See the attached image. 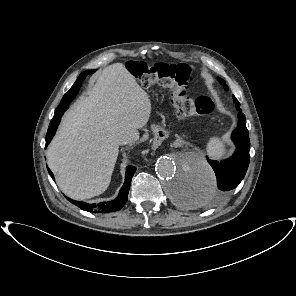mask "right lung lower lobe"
Here are the masks:
<instances>
[{
    "mask_svg": "<svg viewBox=\"0 0 296 296\" xmlns=\"http://www.w3.org/2000/svg\"><path fill=\"white\" fill-rule=\"evenodd\" d=\"M93 72V71H92ZM88 74V71H85L79 75L74 85L71 87V89L64 95L62 98L59 106L56 108L54 116L49 124V128L46 134V147L53 138L55 131L57 129V126L60 123L61 116L63 115L64 111L67 110L68 104L72 101V99L75 97L76 93L78 92L81 82L85 79V76ZM50 176L53 178V173L48 168ZM136 171V168L129 165L126 170L125 174V182L122 188L119 191V195L111 201L108 202H101L98 204H88L85 202H78L75 200H72L68 197L67 200H69L71 203L79 206L82 210H86L92 213H110L120 210L125 203L127 202V196L130 189L131 179ZM54 179V178H53Z\"/></svg>",
    "mask_w": 296,
    "mask_h": 296,
    "instance_id": "obj_1",
    "label": "right lung lower lobe"
}]
</instances>
